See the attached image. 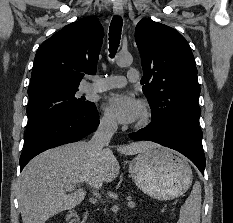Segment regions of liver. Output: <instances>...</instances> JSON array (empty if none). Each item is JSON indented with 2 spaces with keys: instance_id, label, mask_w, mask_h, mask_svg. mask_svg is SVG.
Segmentation results:
<instances>
[{
  "instance_id": "liver-1",
  "label": "liver",
  "mask_w": 233,
  "mask_h": 223,
  "mask_svg": "<svg viewBox=\"0 0 233 223\" xmlns=\"http://www.w3.org/2000/svg\"><path fill=\"white\" fill-rule=\"evenodd\" d=\"M148 147H158L153 141H132L118 145L117 151L135 155ZM120 173L111 149L104 155H94L90 141H76L47 149L33 157L18 181V201L22 223H45L47 219L79 205L87 195V187H101ZM72 185L77 189L72 191Z\"/></svg>"
}]
</instances>
